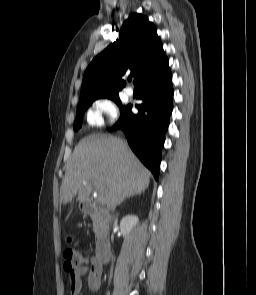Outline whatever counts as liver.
Listing matches in <instances>:
<instances>
[{"label":"liver","instance_id":"1","mask_svg":"<svg viewBox=\"0 0 256 295\" xmlns=\"http://www.w3.org/2000/svg\"><path fill=\"white\" fill-rule=\"evenodd\" d=\"M149 178L150 172L120 138L93 134L75 147L67 163L60 200L67 204L77 195L85 202L95 186L104 194L107 208L114 210L125 197L144 192Z\"/></svg>","mask_w":256,"mask_h":295}]
</instances>
